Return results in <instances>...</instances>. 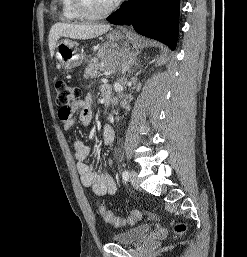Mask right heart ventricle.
I'll list each match as a JSON object with an SVG mask.
<instances>
[{
    "label": "right heart ventricle",
    "instance_id": "right-heart-ventricle-1",
    "mask_svg": "<svg viewBox=\"0 0 247 257\" xmlns=\"http://www.w3.org/2000/svg\"><path fill=\"white\" fill-rule=\"evenodd\" d=\"M61 6V18L64 21H77L82 19L74 7L73 0H59Z\"/></svg>",
    "mask_w": 247,
    "mask_h": 257
}]
</instances>
